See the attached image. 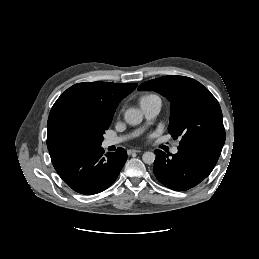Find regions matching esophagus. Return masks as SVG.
Here are the masks:
<instances>
[{
  "label": "esophagus",
  "instance_id": "esophagus-1",
  "mask_svg": "<svg viewBox=\"0 0 259 259\" xmlns=\"http://www.w3.org/2000/svg\"><path fill=\"white\" fill-rule=\"evenodd\" d=\"M140 152H141L140 150H136V149H130L127 151L128 155H132V154L140 153Z\"/></svg>",
  "mask_w": 259,
  "mask_h": 259
}]
</instances>
